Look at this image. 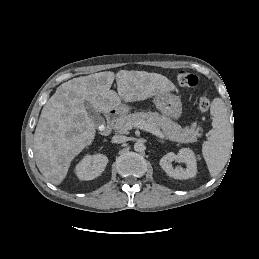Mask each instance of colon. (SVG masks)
<instances>
[{"label":"colon","instance_id":"1","mask_svg":"<svg viewBox=\"0 0 259 259\" xmlns=\"http://www.w3.org/2000/svg\"><path fill=\"white\" fill-rule=\"evenodd\" d=\"M177 80L179 85L184 88H194L198 85V77L186 71H180L177 74ZM198 106L202 113H206L209 110L210 100L205 94L200 95Z\"/></svg>","mask_w":259,"mask_h":259}]
</instances>
